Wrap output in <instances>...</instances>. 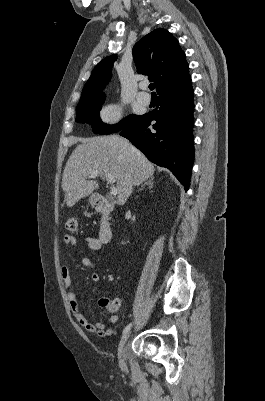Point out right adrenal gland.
I'll return each instance as SVG.
<instances>
[{
  "mask_svg": "<svg viewBox=\"0 0 265 401\" xmlns=\"http://www.w3.org/2000/svg\"><path fill=\"white\" fill-rule=\"evenodd\" d=\"M153 178H154V176H149L147 182H144V184H142L140 190H143V188H145L146 184H148L149 188H153Z\"/></svg>",
  "mask_w": 265,
  "mask_h": 401,
  "instance_id": "1",
  "label": "right adrenal gland"
}]
</instances>
